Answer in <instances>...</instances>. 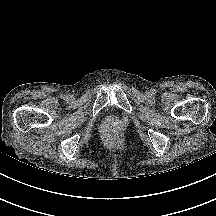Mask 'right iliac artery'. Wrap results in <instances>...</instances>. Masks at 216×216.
Instances as JSON below:
<instances>
[{
    "instance_id": "1",
    "label": "right iliac artery",
    "mask_w": 216,
    "mask_h": 216,
    "mask_svg": "<svg viewBox=\"0 0 216 216\" xmlns=\"http://www.w3.org/2000/svg\"><path fill=\"white\" fill-rule=\"evenodd\" d=\"M67 98H68V96L65 95V96H64V99H67Z\"/></svg>"
}]
</instances>
